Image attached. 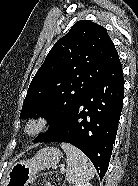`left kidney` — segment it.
<instances>
[{
	"mask_svg": "<svg viewBox=\"0 0 138 186\" xmlns=\"http://www.w3.org/2000/svg\"><path fill=\"white\" fill-rule=\"evenodd\" d=\"M74 186H92L89 182H80L75 184Z\"/></svg>",
	"mask_w": 138,
	"mask_h": 186,
	"instance_id": "1",
	"label": "left kidney"
}]
</instances>
